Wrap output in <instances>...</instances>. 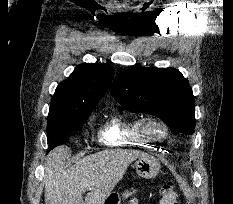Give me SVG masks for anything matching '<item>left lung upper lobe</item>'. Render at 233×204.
<instances>
[{"instance_id":"5c2ea615","label":"left lung upper lobe","mask_w":233,"mask_h":204,"mask_svg":"<svg viewBox=\"0 0 233 204\" xmlns=\"http://www.w3.org/2000/svg\"><path fill=\"white\" fill-rule=\"evenodd\" d=\"M111 92L130 112L156 116L174 133H194L192 88L174 68H130L114 79Z\"/></svg>"}]
</instances>
